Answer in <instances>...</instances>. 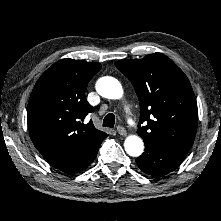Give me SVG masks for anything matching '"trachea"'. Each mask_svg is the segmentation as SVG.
Instances as JSON below:
<instances>
[{
  "label": "trachea",
  "instance_id": "3493384b",
  "mask_svg": "<svg viewBox=\"0 0 221 221\" xmlns=\"http://www.w3.org/2000/svg\"><path fill=\"white\" fill-rule=\"evenodd\" d=\"M115 125V116L112 113H109L105 116L103 120V126L113 128Z\"/></svg>",
  "mask_w": 221,
  "mask_h": 221
}]
</instances>
